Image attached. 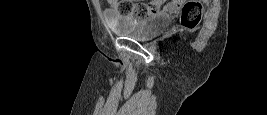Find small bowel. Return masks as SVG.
Instances as JSON below:
<instances>
[{"label":"small bowel","instance_id":"obj_1","mask_svg":"<svg viewBox=\"0 0 267 115\" xmlns=\"http://www.w3.org/2000/svg\"><path fill=\"white\" fill-rule=\"evenodd\" d=\"M183 4L184 2L181 0H175V1L169 2L166 6H164L163 12L170 13V14H177L181 11Z\"/></svg>","mask_w":267,"mask_h":115}]
</instances>
